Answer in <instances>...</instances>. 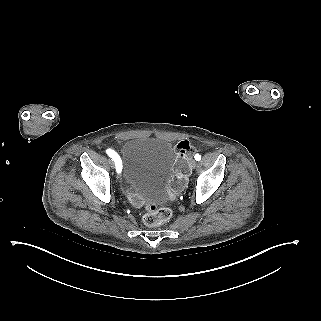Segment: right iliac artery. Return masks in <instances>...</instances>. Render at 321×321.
Masks as SVG:
<instances>
[{
	"label": "right iliac artery",
	"mask_w": 321,
	"mask_h": 321,
	"mask_svg": "<svg viewBox=\"0 0 321 321\" xmlns=\"http://www.w3.org/2000/svg\"><path fill=\"white\" fill-rule=\"evenodd\" d=\"M106 153H107L108 156H110L111 159L115 162L116 171H117V172H120L121 166H120V158H119L118 154H117L115 151L111 150V149H107V150H106Z\"/></svg>",
	"instance_id": "82829eb1"
}]
</instances>
